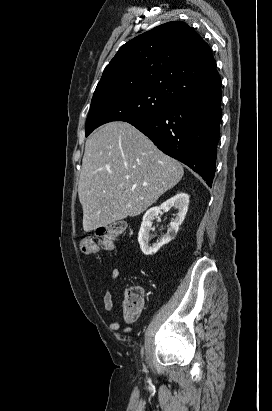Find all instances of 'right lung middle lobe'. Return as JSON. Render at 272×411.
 <instances>
[{
	"instance_id": "obj_1",
	"label": "right lung middle lobe",
	"mask_w": 272,
	"mask_h": 411,
	"mask_svg": "<svg viewBox=\"0 0 272 411\" xmlns=\"http://www.w3.org/2000/svg\"><path fill=\"white\" fill-rule=\"evenodd\" d=\"M176 101L169 91L143 87L94 93L86 121V136L104 123L141 120L162 112Z\"/></svg>"
}]
</instances>
